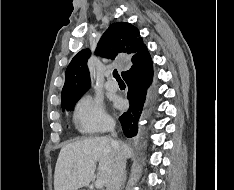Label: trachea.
Returning a JSON list of instances; mask_svg holds the SVG:
<instances>
[{
    "instance_id": "obj_1",
    "label": "trachea",
    "mask_w": 234,
    "mask_h": 190,
    "mask_svg": "<svg viewBox=\"0 0 234 190\" xmlns=\"http://www.w3.org/2000/svg\"><path fill=\"white\" fill-rule=\"evenodd\" d=\"M113 77L117 80V81H122L121 77L118 74V71L115 69L113 71Z\"/></svg>"
}]
</instances>
